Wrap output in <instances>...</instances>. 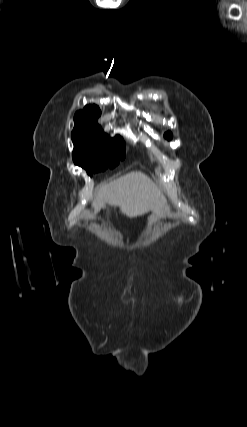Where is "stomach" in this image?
<instances>
[{
    "label": "stomach",
    "mask_w": 247,
    "mask_h": 427,
    "mask_svg": "<svg viewBox=\"0 0 247 427\" xmlns=\"http://www.w3.org/2000/svg\"><path fill=\"white\" fill-rule=\"evenodd\" d=\"M173 215V210L167 202H165L159 209L153 211L151 214L149 221L155 222L160 219H164L166 217H171Z\"/></svg>",
    "instance_id": "stomach-1"
}]
</instances>
